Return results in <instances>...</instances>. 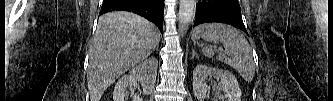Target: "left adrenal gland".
<instances>
[{
    "mask_svg": "<svg viewBox=\"0 0 333 101\" xmlns=\"http://www.w3.org/2000/svg\"><path fill=\"white\" fill-rule=\"evenodd\" d=\"M194 57H196L197 59H199L197 53H196L195 50L193 49V50H192V59H193Z\"/></svg>",
    "mask_w": 333,
    "mask_h": 101,
    "instance_id": "a2214340",
    "label": "left adrenal gland"
}]
</instances>
